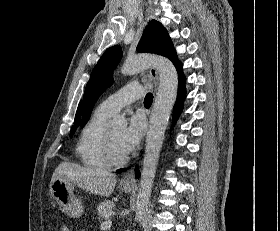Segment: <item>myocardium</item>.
Instances as JSON below:
<instances>
[{
  "label": "myocardium",
  "instance_id": "f54148a6",
  "mask_svg": "<svg viewBox=\"0 0 280 231\" xmlns=\"http://www.w3.org/2000/svg\"><path fill=\"white\" fill-rule=\"evenodd\" d=\"M103 149L105 158L110 165L122 164L128 158L126 155H117L115 153L108 129H106L104 133Z\"/></svg>",
  "mask_w": 280,
  "mask_h": 231
}]
</instances>
